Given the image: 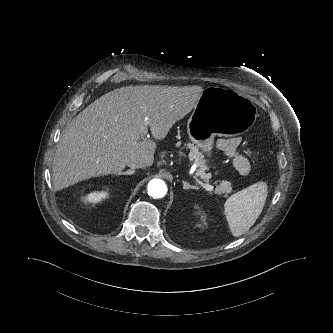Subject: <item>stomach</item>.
I'll return each mask as SVG.
<instances>
[{"mask_svg":"<svg viewBox=\"0 0 333 333\" xmlns=\"http://www.w3.org/2000/svg\"><path fill=\"white\" fill-rule=\"evenodd\" d=\"M256 107L247 97L223 87H209L196 100L188 120L189 139L209 158L213 157L214 139L250 130L256 121Z\"/></svg>","mask_w":333,"mask_h":333,"instance_id":"stomach-1","label":"stomach"}]
</instances>
